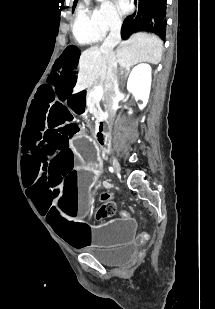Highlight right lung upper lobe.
<instances>
[{
    "label": "right lung upper lobe",
    "mask_w": 215,
    "mask_h": 309,
    "mask_svg": "<svg viewBox=\"0 0 215 309\" xmlns=\"http://www.w3.org/2000/svg\"><path fill=\"white\" fill-rule=\"evenodd\" d=\"M77 2V0H74V3H76Z\"/></svg>",
    "instance_id": "cb5924a9"
}]
</instances>
